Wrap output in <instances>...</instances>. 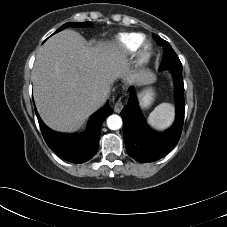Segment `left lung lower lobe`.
<instances>
[{
    "instance_id": "obj_1",
    "label": "left lung lower lobe",
    "mask_w": 227,
    "mask_h": 227,
    "mask_svg": "<svg viewBox=\"0 0 227 227\" xmlns=\"http://www.w3.org/2000/svg\"><path fill=\"white\" fill-rule=\"evenodd\" d=\"M174 77L176 119L165 133L153 131L146 124L133 88L129 89L128 104L121 111L123 136L129 156L141 163L156 161L167 155L177 144L184 122V84L182 72L171 70Z\"/></svg>"
}]
</instances>
